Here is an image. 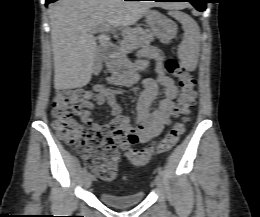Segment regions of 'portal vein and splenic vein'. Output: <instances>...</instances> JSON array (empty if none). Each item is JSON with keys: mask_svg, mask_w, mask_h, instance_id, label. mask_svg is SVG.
<instances>
[{"mask_svg": "<svg viewBox=\"0 0 260 217\" xmlns=\"http://www.w3.org/2000/svg\"><path fill=\"white\" fill-rule=\"evenodd\" d=\"M111 30H113V27L111 25H105V26H101V27H97V28L93 29L91 33L95 34L98 32H109Z\"/></svg>", "mask_w": 260, "mask_h": 217, "instance_id": "1", "label": "portal vein and splenic vein"}]
</instances>
